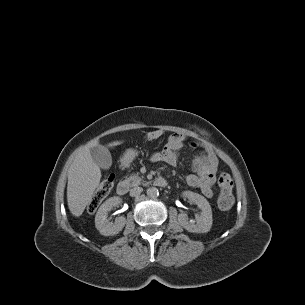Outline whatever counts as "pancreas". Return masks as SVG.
<instances>
[{
  "label": "pancreas",
  "mask_w": 305,
  "mask_h": 305,
  "mask_svg": "<svg viewBox=\"0 0 305 305\" xmlns=\"http://www.w3.org/2000/svg\"><path fill=\"white\" fill-rule=\"evenodd\" d=\"M125 181L132 187V186L140 185L143 179L137 173L129 176Z\"/></svg>",
  "instance_id": "cf45deb5"
}]
</instances>
